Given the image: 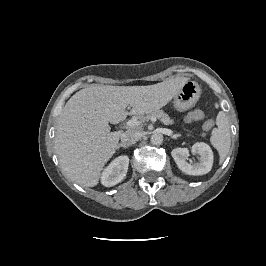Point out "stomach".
Instances as JSON below:
<instances>
[{"instance_id": "1", "label": "stomach", "mask_w": 266, "mask_h": 266, "mask_svg": "<svg viewBox=\"0 0 266 266\" xmlns=\"http://www.w3.org/2000/svg\"><path fill=\"white\" fill-rule=\"evenodd\" d=\"M201 95V88L195 81L187 80L174 96L173 104L178 111L192 108Z\"/></svg>"}]
</instances>
